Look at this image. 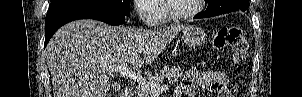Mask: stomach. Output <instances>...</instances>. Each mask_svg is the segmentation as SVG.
Here are the masks:
<instances>
[{"label":"stomach","instance_id":"obj_1","mask_svg":"<svg viewBox=\"0 0 302 97\" xmlns=\"http://www.w3.org/2000/svg\"><path fill=\"white\" fill-rule=\"evenodd\" d=\"M181 37L187 46L197 47L205 42L206 34L199 26L186 25L182 30Z\"/></svg>","mask_w":302,"mask_h":97}]
</instances>
